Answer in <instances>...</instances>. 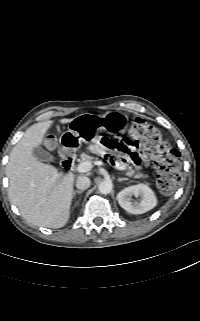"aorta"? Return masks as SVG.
I'll return each instance as SVG.
<instances>
[{
    "mask_svg": "<svg viewBox=\"0 0 200 321\" xmlns=\"http://www.w3.org/2000/svg\"><path fill=\"white\" fill-rule=\"evenodd\" d=\"M112 182L109 180H103L102 182H100L99 184V191L102 194H109L112 191Z\"/></svg>",
    "mask_w": 200,
    "mask_h": 321,
    "instance_id": "aorta-1",
    "label": "aorta"
}]
</instances>
